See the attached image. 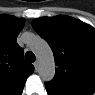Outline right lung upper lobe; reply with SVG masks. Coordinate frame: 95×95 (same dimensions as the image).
I'll return each mask as SVG.
<instances>
[{
    "label": "right lung upper lobe",
    "instance_id": "1",
    "mask_svg": "<svg viewBox=\"0 0 95 95\" xmlns=\"http://www.w3.org/2000/svg\"><path fill=\"white\" fill-rule=\"evenodd\" d=\"M24 19L0 15V95H21L34 66L24 60L16 39Z\"/></svg>",
    "mask_w": 95,
    "mask_h": 95
}]
</instances>
